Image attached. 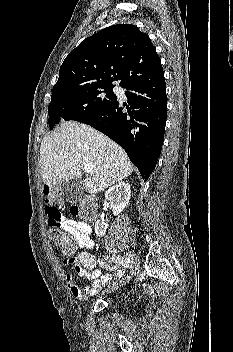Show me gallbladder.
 I'll list each match as a JSON object with an SVG mask.
<instances>
[{
  "mask_svg": "<svg viewBox=\"0 0 233 352\" xmlns=\"http://www.w3.org/2000/svg\"><path fill=\"white\" fill-rule=\"evenodd\" d=\"M83 180L81 179H73L69 180L65 185V196L66 200L70 204L76 203L83 194Z\"/></svg>",
  "mask_w": 233,
  "mask_h": 352,
  "instance_id": "1",
  "label": "gallbladder"
}]
</instances>
